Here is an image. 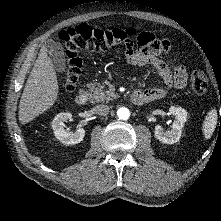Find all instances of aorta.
<instances>
[{
    "mask_svg": "<svg viewBox=\"0 0 221 221\" xmlns=\"http://www.w3.org/2000/svg\"><path fill=\"white\" fill-rule=\"evenodd\" d=\"M117 115L121 120H127L130 117V111L128 108L121 107L118 109Z\"/></svg>",
    "mask_w": 221,
    "mask_h": 221,
    "instance_id": "1",
    "label": "aorta"
}]
</instances>
